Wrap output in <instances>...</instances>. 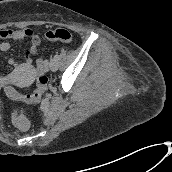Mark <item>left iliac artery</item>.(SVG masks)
<instances>
[{
    "label": "left iliac artery",
    "instance_id": "obj_1",
    "mask_svg": "<svg viewBox=\"0 0 172 172\" xmlns=\"http://www.w3.org/2000/svg\"><path fill=\"white\" fill-rule=\"evenodd\" d=\"M54 59H55V60H58V59H59V56H58V55H55V56H54Z\"/></svg>",
    "mask_w": 172,
    "mask_h": 172
}]
</instances>
